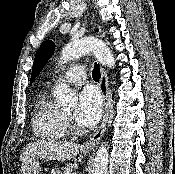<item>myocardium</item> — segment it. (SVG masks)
Returning <instances> with one entry per match:
<instances>
[{
  "mask_svg": "<svg viewBox=\"0 0 175 174\" xmlns=\"http://www.w3.org/2000/svg\"><path fill=\"white\" fill-rule=\"evenodd\" d=\"M64 118H65V121H66L67 123H70V121H71L70 116L64 114Z\"/></svg>",
  "mask_w": 175,
  "mask_h": 174,
  "instance_id": "1",
  "label": "myocardium"
}]
</instances>
